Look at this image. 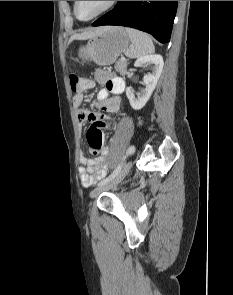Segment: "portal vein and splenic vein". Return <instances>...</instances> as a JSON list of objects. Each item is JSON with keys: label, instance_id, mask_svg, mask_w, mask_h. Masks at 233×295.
Wrapping results in <instances>:
<instances>
[{"label": "portal vein and splenic vein", "instance_id": "1", "mask_svg": "<svg viewBox=\"0 0 233 295\" xmlns=\"http://www.w3.org/2000/svg\"><path fill=\"white\" fill-rule=\"evenodd\" d=\"M121 60H125V58L124 57H121Z\"/></svg>", "mask_w": 233, "mask_h": 295}]
</instances>
